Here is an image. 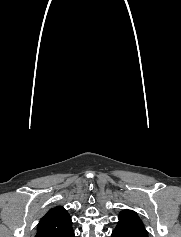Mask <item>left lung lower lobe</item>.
I'll use <instances>...</instances> for the list:
<instances>
[{"mask_svg":"<svg viewBox=\"0 0 181 237\" xmlns=\"http://www.w3.org/2000/svg\"><path fill=\"white\" fill-rule=\"evenodd\" d=\"M111 237H148V235L133 231L120 232L114 230Z\"/></svg>","mask_w":181,"mask_h":237,"instance_id":"obj_1","label":"left lung lower lobe"}]
</instances>
